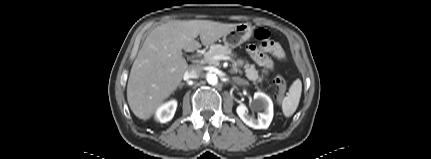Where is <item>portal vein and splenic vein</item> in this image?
Listing matches in <instances>:
<instances>
[{
  "label": "portal vein and splenic vein",
  "instance_id": "1",
  "mask_svg": "<svg viewBox=\"0 0 431 159\" xmlns=\"http://www.w3.org/2000/svg\"><path fill=\"white\" fill-rule=\"evenodd\" d=\"M212 60L214 61H218V60H231V58L229 56H225V55H215L212 57Z\"/></svg>",
  "mask_w": 431,
  "mask_h": 159
}]
</instances>
